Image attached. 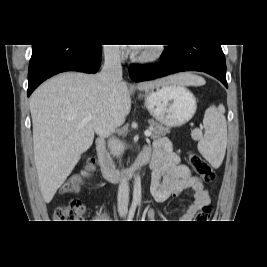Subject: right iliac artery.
<instances>
[{"label":"right iliac artery","mask_w":267,"mask_h":267,"mask_svg":"<svg viewBox=\"0 0 267 267\" xmlns=\"http://www.w3.org/2000/svg\"><path fill=\"white\" fill-rule=\"evenodd\" d=\"M135 210H136V204H132L131 205V208L129 210V214H128V221H131L134 217V214H135Z\"/></svg>","instance_id":"obj_1"}]
</instances>
